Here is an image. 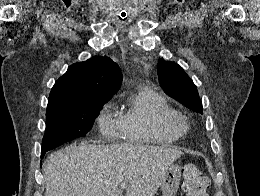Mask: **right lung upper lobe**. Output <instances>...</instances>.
<instances>
[{"label": "right lung upper lobe", "instance_id": "1", "mask_svg": "<svg viewBox=\"0 0 260 196\" xmlns=\"http://www.w3.org/2000/svg\"><path fill=\"white\" fill-rule=\"evenodd\" d=\"M122 82L119 66L108 57H94L69 66L54 84L48 106L109 100Z\"/></svg>", "mask_w": 260, "mask_h": 196}]
</instances>
